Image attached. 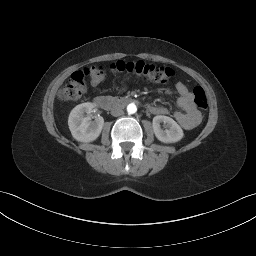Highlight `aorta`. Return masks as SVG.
I'll return each instance as SVG.
<instances>
[{
	"label": "aorta",
	"mask_w": 256,
	"mask_h": 256,
	"mask_svg": "<svg viewBox=\"0 0 256 256\" xmlns=\"http://www.w3.org/2000/svg\"><path fill=\"white\" fill-rule=\"evenodd\" d=\"M136 111H137V107H136V105H135L134 103H130V104L127 106V112H128L129 114H134V113H136Z\"/></svg>",
	"instance_id": "obj_1"
}]
</instances>
